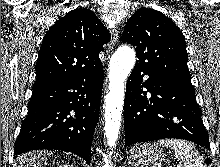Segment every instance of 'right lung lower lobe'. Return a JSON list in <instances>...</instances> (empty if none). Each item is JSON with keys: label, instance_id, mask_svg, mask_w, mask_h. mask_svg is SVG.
Returning <instances> with one entry per match:
<instances>
[{"label": "right lung lower lobe", "instance_id": "right-lung-lower-lobe-1", "mask_svg": "<svg viewBox=\"0 0 220 167\" xmlns=\"http://www.w3.org/2000/svg\"><path fill=\"white\" fill-rule=\"evenodd\" d=\"M103 67L49 87L34 89L14 155L37 149L72 152L90 164L99 118Z\"/></svg>", "mask_w": 220, "mask_h": 167}]
</instances>
